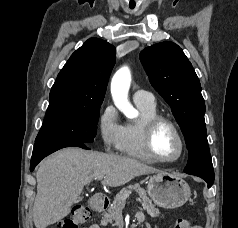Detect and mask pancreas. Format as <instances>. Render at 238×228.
<instances>
[{
	"label": "pancreas",
	"instance_id": "1",
	"mask_svg": "<svg viewBox=\"0 0 238 228\" xmlns=\"http://www.w3.org/2000/svg\"><path fill=\"white\" fill-rule=\"evenodd\" d=\"M131 190H134L139 195L140 197L139 202L142 204L143 209H145L151 217L159 216L160 214L159 209L149 199V197L146 194V191L143 188H141L139 184H133L127 186L126 188H123L116 195L111 206L103 214L101 225L106 226L108 223H112L114 221L116 210L118 209V207L123 206L125 204V200H123L122 198Z\"/></svg>",
	"mask_w": 238,
	"mask_h": 228
}]
</instances>
